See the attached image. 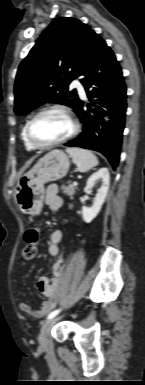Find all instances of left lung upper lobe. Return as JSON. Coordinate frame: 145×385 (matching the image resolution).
I'll return each instance as SVG.
<instances>
[{"instance_id": "1", "label": "left lung upper lobe", "mask_w": 145, "mask_h": 385, "mask_svg": "<svg viewBox=\"0 0 145 385\" xmlns=\"http://www.w3.org/2000/svg\"><path fill=\"white\" fill-rule=\"evenodd\" d=\"M95 32L75 18L54 19L21 62L14 87L15 109L24 115L44 103L77 110L80 99L69 83L79 76Z\"/></svg>"}]
</instances>
